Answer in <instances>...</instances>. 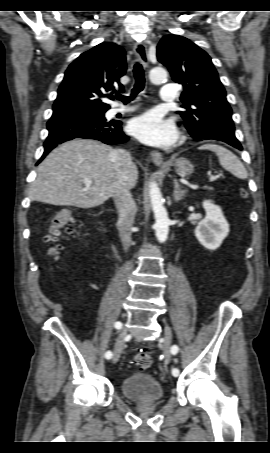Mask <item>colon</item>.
<instances>
[{
    "instance_id": "1",
    "label": "colon",
    "mask_w": 270,
    "mask_h": 453,
    "mask_svg": "<svg viewBox=\"0 0 270 453\" xmlns=\"http://www.w3.org/2000/svg\"><path fill=\"white\" fill-rule=\"evenodd\" d=\"M240 196L243 199H246L248 197L247 191L241 189ZM73 220L72 211L70 209H62L51 219L46 241L50 243L49 253L55 259H58L60 253L59 242L66 238L70 233V224ZM152 362L153 358L149 352H139L135 356V363L141 370L148 369L152 365Z\"/></svg>"
}]
</instances>
